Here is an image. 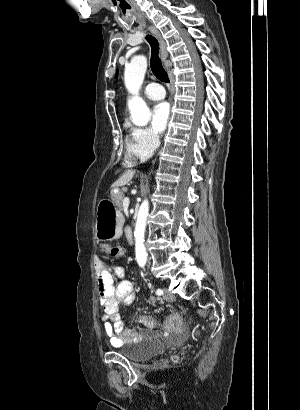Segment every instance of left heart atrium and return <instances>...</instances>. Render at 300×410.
I'll return each mask as SVG.
<instances>
[{
  "label": "left heart atrium",
  "instance_id": "left-heart-atrium-1",
  "mask_svg": "<svg viewBox=\"0 0 300 410\" xmlns=\"http://www.w3.org/2000/svg\"><path fill=\"white\" fill-rule=\"evenodd\" d=\"M170 120V106L167 102L156 104L152 111V126L158 133H163Z\"/></svg>",
  "mask_w": 300,
  "mask_h": 410
}]
</instances>
